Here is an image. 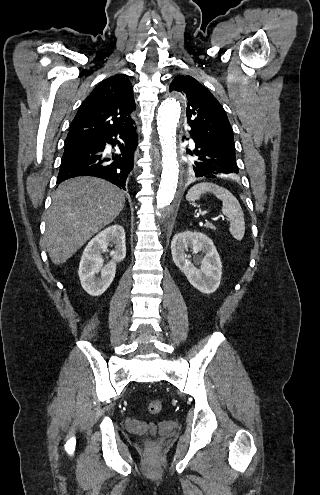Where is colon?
<instances>
[{"instance_id": "colon-1", "label": "colon", "mask_w": 320, "mask_h": 495, "mask_svg": "<svg viewBox=\"0 0 320 495\" xmlns=\"http://www.w3.org/2000/svg\"><path fill=\"white\" fill-rule=\"evenodd\" d=\"M162 401L159 399H154L149 402L147 410L151 415H156L162 410Z\"/></svg>"}]
</instances>
